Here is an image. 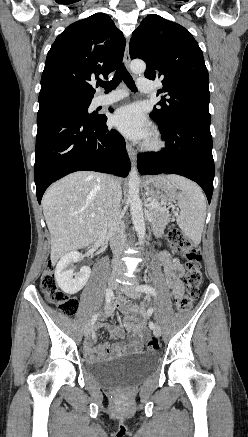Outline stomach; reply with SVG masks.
<instances>
[{"label": "stomach", "mask_w": 248, "mask_h": 437, "mask_svg": "<svg viewBox=\"0 0 248 437\" xmlns=\"http://www.w3.org/2000/svg\"><path fill=\"white\" fill-rule=\"evenodd\" d=\"M144 187L147 194L155 201H161V203L171 206L175 202V188L167 176H148L144 179Z\"/></svg>", "instance_id": "obj_1"}]
</instances>
